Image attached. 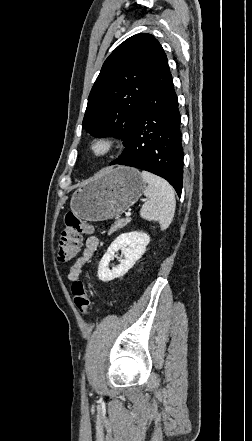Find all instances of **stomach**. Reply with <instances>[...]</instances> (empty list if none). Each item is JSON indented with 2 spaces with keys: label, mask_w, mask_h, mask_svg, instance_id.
I'll return each mask as SVG.
<instances>
[{
  "label": "stomach",
  "mask_w": 252,
  "mask_h": 441,
  "mask_svg": "<svg viewBox=\"0 0 252 441\" xmlns=\"http://www.w3.org/2000/svg\"><path fill=\"white\" fill-rule=\"evenodd\" d=\"M145 187L141 173L135 168L107 169L73 193L71 210L86 221L119 217L140 198Z\"/></svg>",
  "instance_id": "stomach-1"
}]
</instances>
